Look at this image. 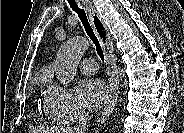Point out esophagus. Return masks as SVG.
Returning a JSON list of instances; mask_svg holds the SVG:
<instances>
[{
    "label": "esophagus",
    "instance_id": "obj_1",
    "mask_svg": "<svg viewBox=\"0 0 184 133\" xmlns=\"http://www.w3.org/2000/svg\"><path fill=\"white\" fill-rule=\"evenodd\" d=\"M82 3L85 10L89 14L90 21L95 29L97 36L101 40V44L103 45L105 52V58L110 71V95L109 100L104 107L103 113L101 115V123H103L110 116L116 104V100L113 96V88L114 82L117 80V69L114 62L113 45L108 28L92 3L88 0H85Z\"/></svg>",
    "mask_w": 184,
    "mask_h": 133
}]
</instances>
